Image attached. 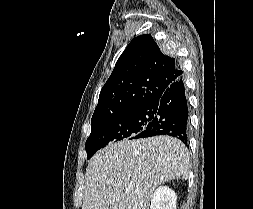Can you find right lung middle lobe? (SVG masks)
Returning <instances> with one entry per match:
<instances>
[{
	"instance_id": "dd1d6c3e",
	"label": "right lung middle lobe",
	"mask_w": 253,
	"mask_h": 209,
	"mask_svg": "<svg viewBox=\"0 0 253 209\" xmlns=\"http://www.w3.org/2000/svg\"><path fill=\"white\" fill-rule=\"evenodd\" d=\"M155 112L149 105L138 106L121 114L91 120V134L86 140L87 159L105 145L126 138L135 139L152 121Z\"/></svg>"
}]
</instances>
